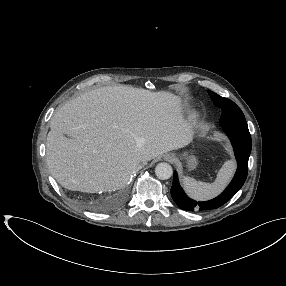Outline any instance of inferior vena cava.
Returning <instances> with one entry per match:
<instances>
[{"label": "inferior vena cava", "instance_id": "602c4592", "mask_svg": "<svg viewBox=\"0 0 286 286\" xmlns=\"http://www.w3.org/2000/svg\"><path fill=\"white\" fill-rule=\"evenodd\" d=\"M140 168H141V165L138 164V165L136 166L135 170L140 169Z\"/></svg>", "mask_w": 286, "mask_h": 286}]
</instances>
